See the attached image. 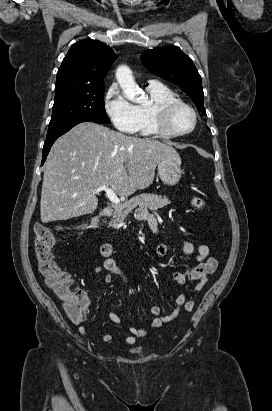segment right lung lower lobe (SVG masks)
Wrapping results in <instances>:
<instances>
[{"label":"right lung lower lobe","instance_id":"1","mask_svg":"<svg viewBox=\"0 0 272 411\" xmlns=\"http://www.w3.org/2000/svg\"><path fill=\"white\" fill-rule=\"evenodd\" d=\"M78 124V123H76ZM76 124L69 126L68 128L64 129L62 132L51 135V136H46V140L44 142V147H43V155H42V164L45 162L47 155L49 153V150L51 148V146L53 145V143L56 141V139L58 137H60L61 135H63L64 133L68 132L72 127H74Z\"/></svg>","mask_w":272,"mask_h":411}]
</instances>
